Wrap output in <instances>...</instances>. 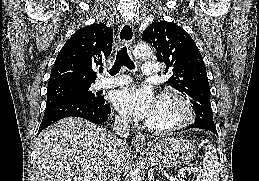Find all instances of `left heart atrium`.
Returning a JSON list of instances; mask_svg holds the SVG:
<instances>
[{
  "label": "left heart atrium",
  "mask_w": 259,
  "mask_h": 181,
  "mask_svg": "<svg viewBox=\"0 0 259 181\" xmlns=\"http://www.w3.org/2000/svg\"><path fill=\"white\" fill-rule=\"evenodd\" d=\"M111 101L120 113L149 122L156 110L158 99L149 88L133 85L115 91Z\"/></svg>",
  "instance_id": "39dd6f15"
}]
</instances>
